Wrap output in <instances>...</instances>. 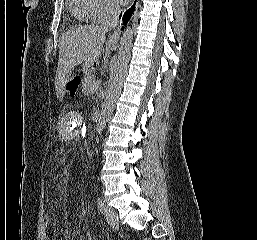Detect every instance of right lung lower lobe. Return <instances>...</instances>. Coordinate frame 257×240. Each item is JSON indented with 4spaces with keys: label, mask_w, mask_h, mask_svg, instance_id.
Segmentation results:
<instances>
[{
    "label": "right lung lower lobe",
    "mask_w": 257,
    "mask_h": 240,
    "mask_svg": "<svg viewBox=\"0 0 257 240\" xmlns=\"http://www.w3.org/2000/svg\"><path fill=\"white\" fill-rule=\"evenodd\" d=\"M134 10H135V7L133 5L128 11H126V13L124 15V18H123V22H124L125 25L129 21V19H130L131 15L133 14Z\"/></svg>",
    "instance_id": "1"
}]
</instances>
